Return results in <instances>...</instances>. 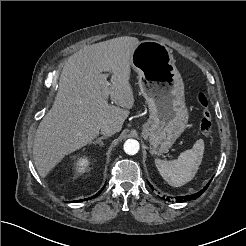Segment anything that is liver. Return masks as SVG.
I'll return each mask as SVG.
<instances>
[{
	"instance_id": "obj_1",
	"label": "liver",
	"mask_w": 246,
	"mask_h": 246,
	"mask_svg": "<svg viewBox=\"0 0 246 246\" xmlns=\"http://www.w3.org/2000/svg\"><path fill=\"white\" fill-rule=\"evenodd\" d=\"M140 41L123 36L87 45L64 65L52 108L40 122L33 157L40 177L73 151L91 143L105 124L122 129L134 105L130 85L132 54ZM110 73L106 92L104 83ZM115 105L108 104V98Z\"/></svg>"
}]
</instances>
